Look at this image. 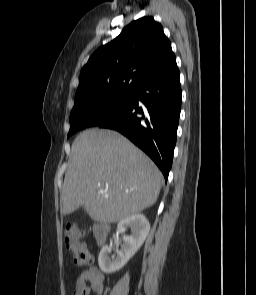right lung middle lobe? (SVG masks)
I'll return each instance as SVG.
<instances>
[{"label": "right lung middle lobe", "mask_w": 256, "mask_h": 295, "mask_svg": "<svg viewBox=\"0 0 256 295\" xmlns=\"http://www.w3.org/2000/svg\"><path fill=\"white\" fill-rule=\"evenodd\" d=\"M134 103V92L92 100H77L70 114L68 137L91 122L118 116Z\"/></svg>", "instance_id": "1"}]
</instances>
